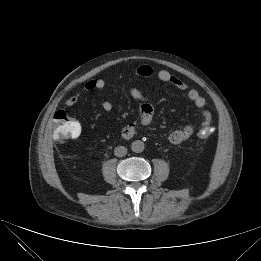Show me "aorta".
<instances>
[{
	"mask_svg": "<svg viewBox=\"0 0 261 261\" xmlns=\"http://www.w3.org/2000/svg\"><path fill=\"white\" fill-rule=\"evenodd\" d=\"M144 142L141 140H135L131 144V150L135 153H141L144 151Z\"/></svg>",
	"mask_w": 261,
	"mask_h": 261,
	"instance_id": "aorta-1",
	"label": "aorta"
}]
</instances>
